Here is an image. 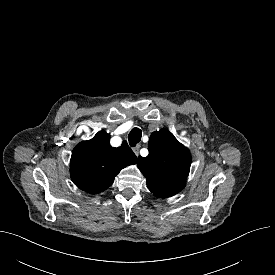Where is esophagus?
Wrapping results in <instances>:
<instances>
[{
	"mask_svg": "<svg viewBox=\"0 0 275 275\" xmlns=\"http://www.w3.org/2000/svg\"><path fill=\"white\" fill-rule=\"evenodd\" d=\"M139 149H140V145H137L133 148V152L135 153L136 156L139 155Z\"/></svg>",
	"mask_w": 275,
	"mask_h": 275,
	"instance_id": "1",
	"label": "esophagus"
}]
</instances>
